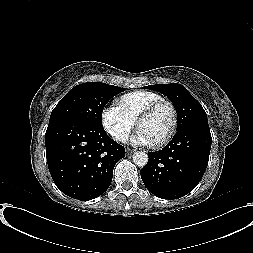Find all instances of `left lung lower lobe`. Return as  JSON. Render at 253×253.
I'll list each match as a JSON object with an SVG mask.
<instances>
[{
    "instance_id": "1",
    "label": "left lung lower lobe",
    "mask_w": 253,
    "mask_h": 253,
    "mask_svg": "<svg viewBox=\"0 0 253 253\" xmlns=\"http://www.w3.org/2000/svg\"><path fill=\"white\" fill-rule=\"evenodd\" d=\"M211 144L208 123H191L178 129L165 148L148 153V163L140 171L147 189L168 200L191 192L206 170Z\"/></svg>"
}]
</instances>
